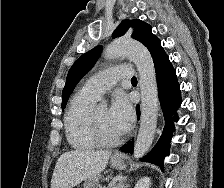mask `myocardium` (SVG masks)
I'll return each mask as SVG.
<instances>
[{
    "mask_svg": "<svg viewBox=\"0 0 224 188\" xmlns=\"http://www.w3.org/2000/svg\"><path fill=\"white\" fill-rule=\"evenodd\" d=\"M89 128L94 140L99 145L113 146V145H117L122 140V134L114 138H109L103 134L100 124L98 122L97 116H96V110L94 109L90 112V115H89Z\"/></svg>",
    "mask_w": 224,
    "mask_h": 188,
    "instance_id": "obj_1",
    "label": "myocardium"
}]
</instances>
